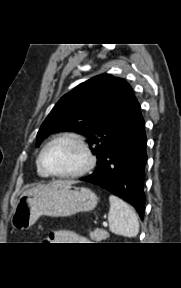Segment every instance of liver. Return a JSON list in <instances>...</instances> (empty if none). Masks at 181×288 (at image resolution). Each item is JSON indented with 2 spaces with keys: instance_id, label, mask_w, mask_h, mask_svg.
<instances>
[{
  "instance_id": "liver-1",
  "label": "liver",
  "mask_w": 181,
  "mask_h": 288,
  "mask_svg": "<svg viewBox=\"0 0 181 288\" xmlns=\"http://www.w3.org/2000/svg\"><path fill=\"white\" fill-rule=\"evenodd\" d=\"M61 182H63V183H75L73 181H61ZM45 186L46 185H37L36 187H33V188L27 190L24 194L37 192V191L42 190L43 188H45Z\"/></svg>"
}]
</instances>
